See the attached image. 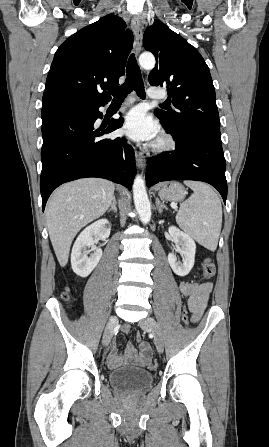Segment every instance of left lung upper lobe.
<instances>
[{
  "label": "left lung upper lobe",
  "mask_w": 269,
  "mask_h": 447,
  "mask_svg": "<svg viewBox=\"0 0 269 447\" xmlns=\"http://www.w3.org/2000/svg\"><path fill=\"white\" fill-rule=\"evenodd\" d=\"M144 47L158 62L149 74L152 86H164L169 104L156 116L171 133L206 132L220 137L219 114L209 68L200 53L160 21L146 29Z\"/></svg>",
  "instance_id": "5c2ea615"
}]
</instances>
